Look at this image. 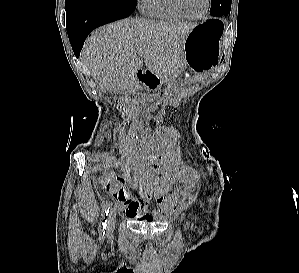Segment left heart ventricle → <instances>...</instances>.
Wrapping results in <instances>:
<instances>
[{
    "label": "left heart ventricle",
    "instance_id": "b2bd125f",
    "mask_svg": "<svg viewBox=\"0 0 299 273\" xmlns=\"http://www.w3.org/2000/svg\"><path fill=\"white\" fill-rule=\"evenodd\" d=\"M186 12L192 16H199L203 13L206 0H181Z\"/></svg>",
    "mask_w": 299,
    "mask_h": 273
}]
</instances>
